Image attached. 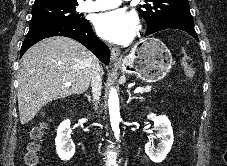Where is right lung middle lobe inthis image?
Instances as JSON below:
<instances>
[{
  "instance_id": "1",
  "label": "right lung middle lobe",
  "mask_w": 227,
  "mask_h": 166,
  "mask_svg": "<svg viewBox=\"0 0 227 166\" xmlns=\"http://www.w3.org/2000/svg\"><path fill=\"white\" fill-rule=\"evenodd\" d=\"M77 3L49 2L33 5L30 29L40 27L48 23H73L85 24L87 20L81 14L75 12Z\"/></svg>"
}]
</instances>
